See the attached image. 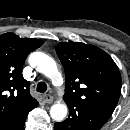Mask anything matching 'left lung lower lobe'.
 <instances>
[{
  "label": "left lung lower lobe",
  "instance_id": "0a47b994",
  "mask_svg": "<svg viewBox=\"0 0 130 130\" xmlns=\"http://www.w3.org/2000/svg\"><path fill=\"white\" fill-rule=\"evenodd\" d=\"M69 116L54 125V130H99L110 116L102 111L82 104H67Z\"/></svg>",
  "mask_w": 130,
  "mask_h": 130
}]
</instances>
